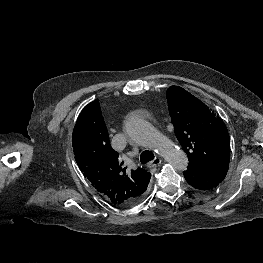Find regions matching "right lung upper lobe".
Segmentation results:
<instances>
[{"instance_id":"right-lung-upper-lobe-1","label":"right lung upper lobe","mask_w":263,"mask_h":263,"mask_svg":"<svg viewBox=\"0 0 263 263\" xmlns=\"http://www.w3.org/2000/svg\"><path fill=\"white\" fill-rule=\"evenodd\" d=\"M72 143L84 177L112 204L126 206L147 189L151 174L141 168L126 171L112 149L98 100L80 113Z\"/></svg>"}]
</instances>
